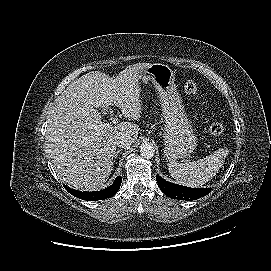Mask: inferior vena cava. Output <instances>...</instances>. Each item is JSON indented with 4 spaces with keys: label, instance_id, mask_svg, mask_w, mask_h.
<instances>
[{
    "label": "inferior vena cava",
    "instance_id": "inferior-vena-cava-1",
    "mask_svg": "<svg viewBox=\"0 0 271 271\" xmlns=\"http://www.w3.org/2000/svg\"><path fill=\"white\" fill-rule=\"evenodd\" d=\"M114 144L120 148H127L132 144V138L130 135L122 133L115 137Z\"/></svg>",
    "mask_w": 271,
    "mask_h": 271
}]
</instances>
